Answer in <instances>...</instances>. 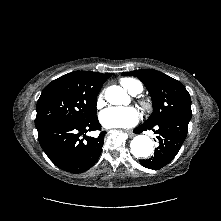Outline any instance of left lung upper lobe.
<instances>
[{"label":"left lung upper lobe","mask_w":221,"mask_h":221,"mask_svg":"<svg viewBox=\"0 0 221 221\" xmlns=\"http://www.w3.org/2000/svg\"><path fill=\"white\" fill-rule=\"evenodd\" d=\"M122 75L139 78L152 97L153 112L143 124L156 125L171 119L190 121L191 98L182 83L154 69L134 70Z\"/></svg>","instance_id":"left-lung-upper-lobe-1"}]
</instances>
